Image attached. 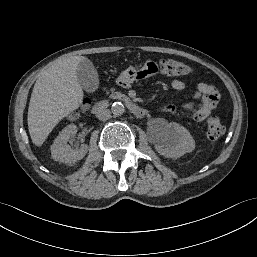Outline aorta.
I'll return each mask as SVG.
<instances>
[{
  "label": "aorta",
  "mask_w": 257,
  "mask_h": 257,
  "mask_svg": "<svg viewBox=\"0 0 257 257\" xmlns=\"http://www.w3.org/2000/svg\"><path fill=\"white\" fill-rule=\"evenodd\" d=\"M111 111L114 116H121L125 112V107L121 102H115L112 104Z\"/></svg>",
  "instance_id": "obj_1"
}]
</instances>
